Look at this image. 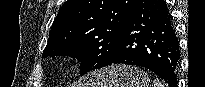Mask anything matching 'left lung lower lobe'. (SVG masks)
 Wrapping results in <instances>:
<instances>
[{"mask_svg": "<svg viewBox=\"0 0 205 87\" xmlns=\"http://www.w3.org/2000/svg\"><path fill=\"white\" fill-rule=\"evenodd\" d=\"M179 58L178 39L165 1L137 0L114 55L104 66L123 63L145 67L175 87Z\"/></svg>", "mask_w": 205, "mask_h": 87, "instance_id": "obj_1", "label": "left lung lower lobe"}]
</instances>
